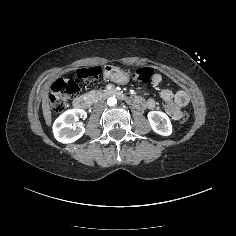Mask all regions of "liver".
Listing matches in <instances>:
<instances>
[{
    "instance_id": "1",
    "label": "liver",
    "mask_w": 236,
    "mask_h": 236,
    "mask_svg": "<svg viewBox=\"0 0 236 236\" xmlns=\"http://www.w3.org/2000/svg\"><path fill=\"white\" fill-rule=\"evenodd\" d=\"M47 90H49V87H47ZM42 113L45 120V123L48 127L52 126V111L49 104V93L48 91L44 92L43 98H42Z\"/></svg>"
}]
</instances>
